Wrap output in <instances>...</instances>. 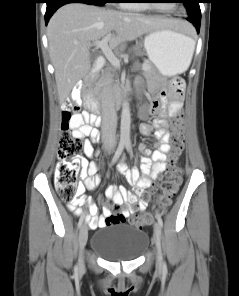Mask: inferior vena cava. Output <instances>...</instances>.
<instances>
[{"instance_id": "obj_1", "label": "inferior vena cava", "mask_w": 239, "mask_h": 296, "mask_svg": "<svg viewBox=\"0 0 239 296\" xmlns=\"http://www.w3.org/2000/svg\"><path fill=\"white\" fill-rule=\"evenodd\" d=\"M101 116H102V139L104 143L115 145V133L117 127V114L115 111L112 87L106 82L101 91Z\"/></svg>"}]
</instances>
